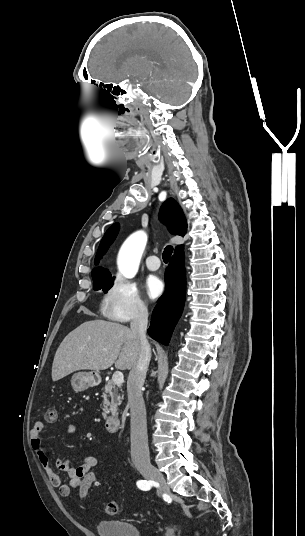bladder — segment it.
Listing matches in <instances>:
<instances>
[{
    "label": "bladder",
    "instance_id": "31cf9c89",
    "mask_svg": "<svg viewBox=\"0 0 305 536\" xmlns=\"http://www.w3.org/2000/svg\"><path fill=\"white\" fill-rule=\"evenodd\" d=\"M97 536H149L135 523L120 519H99L95 526Z\"/></svg>",
    "mask_w": 305,
    "mask_h": 536
}]
</instances>
